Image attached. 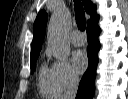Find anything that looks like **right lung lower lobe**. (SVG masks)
Returning a JSON list of instances; mask_svg holds the SVG:
<instances>
[{
	"label": "right lung lower lobe",
	"instance_id": "obj_1",
	"mask_svg": "<svg viewBox=\"0 0 128 99\" xmlns=\"http://www.w3.org/2000/svg\"><path fill=\"white\" fill-rule=\"evenodd\" d=\"M98 20L99 16L96 15L87 24V54L89 65L79 84L76 99H92L95 91L96 67L98 63L97 53L100 49V42L98 40L100 28L98 27Z\"/></svg>",
	"mask_w": 128,
	"mask_h": 99
}]
</instances>
